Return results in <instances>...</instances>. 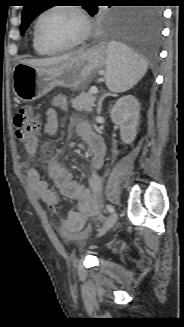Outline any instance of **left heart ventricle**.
Masks as SVG:
<instances>
[{
  "instance_id": "b2bd125f",
  "label": "left heart ventricle",
  "mask_w": 184,
  "mask_h": 327,
  "mask_svg": "<svg viewBox=\"0 0 184 327\" xmlns=\"http://www.w3.org/2000/svg\"><path fill=\"white\" fill-rule=\"evenodd\" d=\"M83 32L79 17L72 11L60 9L47 14L40 24V35L52 46H63L77 40Z\"/></svg>"
}]
</instances>
